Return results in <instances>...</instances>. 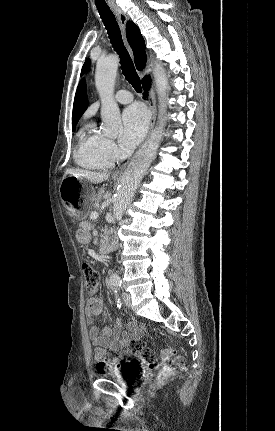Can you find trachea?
I'll return each mask as SVG.
<instances>
[{"label":"trachea","instance_id":"1","mask_svg":"<svg viewBox=\"0 0 275 431\" xmlns=\"http://www.w3.org/2000/svg\"><path fill=\"white\" fill-rule=\"evenodd\" d=\"M97 10L107 30L110 43L120 57L121 69L125 79L133 86L136 92L141 93L142 87L140 78L135 70L129 53L124 46L121 31L114 14L109 8L97 7Z\"/></svg>","mask_w":275,"mask_h":431}]
</instances>
